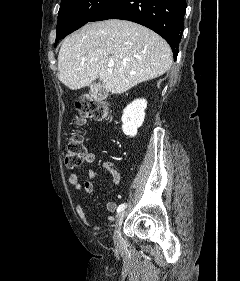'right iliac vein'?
<instances>
[{
    "mask_svg": "<svg viewBox=\"0 0 240 281\" xmlns=\"http://www.w3.org/2000/svg\"><path fill=\"white\" fill-rule=\"evenodd\" d=\"M124 217H125V211H121L117 215V219H116V222H115V230H114V234H113V240H114V243L117 247L122 246L121 225L123 223Z\"/></svg>",
    "mask_w": 240,
    "mask_h": 281,
    "instance_id": "63e3f726",
    "label": "right iliac vein"
}]
</instances>
